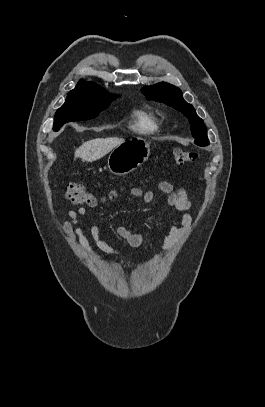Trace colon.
<instances>
[{"mask_svg": "<svg viewBox=\"0 0 265 407\" xmlns=\"http://www.w3.org/2000/svg\"><path fill=\"white\" fill-rule=\"evenodd\" d=\"M173 160L178 165L189 164L197 158V154L193 151L175 149L172 152ZM66 198L75 205H94L96 203L95 196L89 189L78 183H69L66 188Z\"/></svg>", "mask_w": 265, "mask_h": 407, "instance_id": "obj_1", "label": "colon"}]
</instances>
